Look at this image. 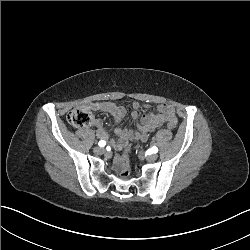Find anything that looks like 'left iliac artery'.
<instances>
[{"label":"left iliac artery","instance_id":"left-iliac-artery-1","mask_svg":"<svg viewBox=\"0 0 250 250\" xmlns=\"http://www.w3.org/2000/svg\"><path fill=\"white\" fill-rule=\"evenodd\" d=\"M158 152V148L156 146H153L151 148V153H157Z\"/></svg>","mask_w":250,"mask_h":250}]
</instances>
